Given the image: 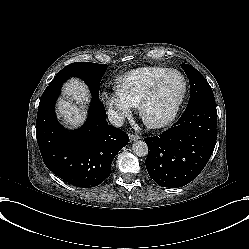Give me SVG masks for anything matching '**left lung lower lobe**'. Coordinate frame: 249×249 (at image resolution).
Returning a JSON list of instances; mask_svg holds the SVG:
<instances>
[{
  "label": "left lung lower lobe",
  "instance_id": "obj_1",
  "mask_svg": "<svg viewBox=\"0 0 249 249\" xmlns=\"http://www.w3.org/2000/svg\"><path fill=\"white\" fill-rule=\"evenodd\" d=\"M215 100L187 106L181 118L159 136L145 138V164L159 186L182 187L203 170L216 143Z\"/></svg>",
  "mask_w": 249,
  "mask_h": 249
}]
</instances>
